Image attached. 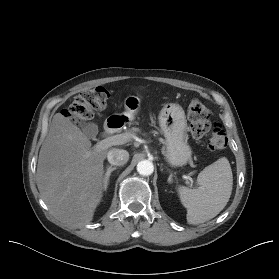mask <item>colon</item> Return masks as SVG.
Returning a JSON list of instances; mask_svg holds the SVG:
<instances>
[{"mask_svg": "<svg viewBox=\"0 0 279 279\" xmlns=\"http://www.w3.org/2000/svg\"><path fill=\"white\" fill-rule=\"evenodd\" d=\"M109 99L110 92L105 87L88 89L80 92L63 114L74 122L84 123L93 117L95 111L104 110ZM188 119L192 135L196 138H205L208 150L215 151L226 147L227 138L224 129L220 124L209 120V111L200 100L190 101Z\"/></svg>", "mask_w": 279, "mask_h": 279, "instance_id": "5ec220e1", "label": "colon"}]
</instances>
